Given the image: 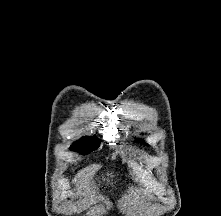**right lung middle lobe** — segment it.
<instances>
[{"label": "right lung middle lobe", "instance_id": "1", "mask_svg": "<svg viewBox=\"0 0 221 216\" xmlns=\"http://www.w3.org/2000/svg\"><path fill=\"white\" fill-rule=\"evenodd\" d=\"M99 145H100V140L97 139L96 137L94 138L83 137L81 140L74 143L71 149L85 155L97 149Z\"/></svg>", "mask_w": 221, "mask_h": 216}]
</instances>
